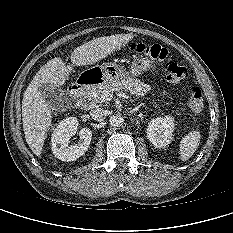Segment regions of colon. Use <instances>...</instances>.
Instances as JSON below:
<instances>
[{
    "label": "colon",
    "instance_id": "colon-1",
    "mask_svg": "<svg viewBox=\"0 0 233 233\" xmlns=\"http://www.w3.org/2000/svg\"><path fill=\"white\" fill-rule=\"evenodd\" d=\"M131 48L139 53L148 55L157 60L164 61L166 79L171 83H178L188 78V70L185 66L168 59V51L158 44L146 45L134 43ZM188 107L194 113H200L204 107L203 93L199 87H194L188 99Z\"/></svg>",
    "mask_w": 233,
    "mask_h": 233
}]
</instances>
